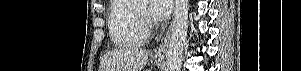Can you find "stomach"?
Wrapping results in <instances>:
<instances>
[{
    "label": "stomach",
    "instance_id": "0dacf381",
    "mask_svg": "<svg viewBox=\"0 0 301 71\" xmlns=\"http://www.w3.org/2000/svg\"><path fill=\"white\" fill-rule=\"evenodd\" d=\"M153 62H154V64H156L158 66V65L162 64L163 60L162 59H154Z\"/></svg>",
    "mask_w": 301,
    "mask_h": 71
}]
</instances>
